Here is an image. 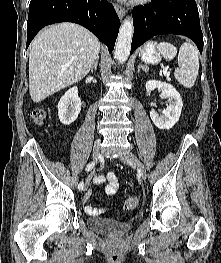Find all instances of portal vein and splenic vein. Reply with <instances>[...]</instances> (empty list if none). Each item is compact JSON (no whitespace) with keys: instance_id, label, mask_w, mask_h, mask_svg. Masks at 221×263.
I'll return each instance as SVG.
<instances>
[{"instance_id":"18ae733b","label":"portal vein and splenic vein","mask_w":221,"mask_h":263,"mask_svg":"<svg viewBox=\"0 0 221 263\" xmlns=\"http://www.w3.org/2000/svg\"><path fill=\"white\" fill-rule=\"evenodd\" d=\"M165 75H166L167 77H169V75H170V72H166V73H165Z\"/></svg>"}]
</instances>
